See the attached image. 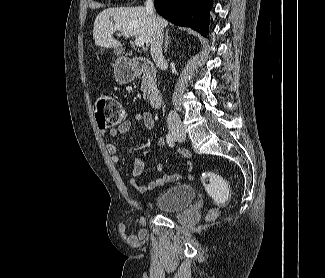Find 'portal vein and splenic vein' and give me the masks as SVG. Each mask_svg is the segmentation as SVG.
<instances>
[{"label": "portal vein and splenic vein", "mask_w": 325, "mask_h": 278, "mask_svg": "<svg viewBox=\"0 0 325 278\" xmlns=\"http://www.w3.org/2000/svg\"><path fill=\"white\" fill-rule=\"evenodd\" d=\"M135 45L137 46V47H142V46H144V40L142 39V38H136L135 39Z\"/></svg>", "instance_id": "portal-vein-and-splenic-vein-1"}]
</instances>
